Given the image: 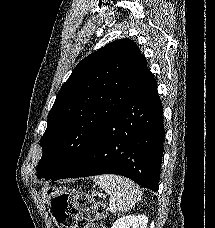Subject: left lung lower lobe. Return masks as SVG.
<instances>
[{"label":"left lung lower lobe","instance_id":"0a47b994","mask_svg":"<svg viewBox=\"0 0 215 228\" xmlns=\"http://www.w3.org/2000/svg\"><path fill=\"white\" fill-rule=\"evenodd\" d=\"M162 114L157 83L149 70L84 153L53 181L117 174L157 192L165 135Z\"/></svg>","mask_w":215,"mask_h":228}]
</instances>
